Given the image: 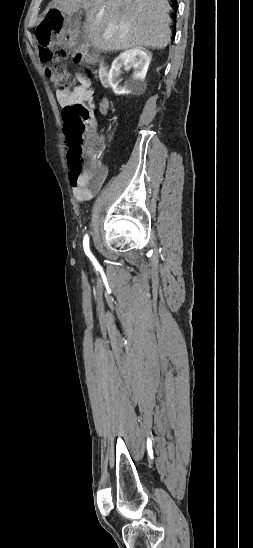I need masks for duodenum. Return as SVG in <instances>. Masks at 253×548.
I'll return each instance as SVG.
<instances>
[{
  "instance_id": "1",
  "label": "duodenum",
  "mask_w": 253,
  "mask_h": 548,
  "mask_svg": "<svg viewBox=\"0 0 253 548\" xmlns=\"http://www.w3.org/2000/svg\"><path fill=\"white\" fill-rule=\"evenodd\" d=\"M99 78L104 85L108 84V70L103 65L99 68Z\"/></svg>"
}]
</instances>
